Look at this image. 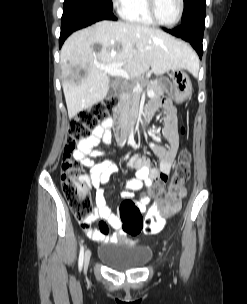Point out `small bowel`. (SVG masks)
<instances>
[{
	"label": "small bowel",
	"instance_id": "small-bowel-1",
	"mask_svg": "<svg viewBox=\"0 0 247 304\" xmlns=\"http://www.w3.org/2000/svg\"><path fill=\"white\" fill-rule=\"evenodd\" d=\"M160 106L164 110L163 135L169 145L164 147L151 144V148L159 159L157 168L151 167L150 160L141 155H133L128 159L127 166L136 171V176L125 182L124 190L121 192L122 199H131L134 196V192L142 188L151 191L154 183H166L168 179L179 149L177 113L175 107L169 101H154L149 105L148 109L154 113ZM112 127L113 120L111 118L105 119L100 125L95 127L90 136L80 141L77 149L72 153L73 158L79 164L89 169L85 178L88 185L95 189L96 208L86 221L80 222V225L86 235L96 242L118 241L125 236V233L121 230L122 220L109 207L103 188V185L117 172V164L110 159L95 162L96 158L104 155L97 148L98 145L101 142L108 145L112 141ZM150 202L149 195L141 197L137 203L139 211L144 213ZM98 219H102L104 222L100 224L99 229L94 230L91 224ZM108 226L115 229L116 232L110 234Z\"/></svg>",
	"mask_w": 247,
	"mask_h": 304
}]
</instances>
